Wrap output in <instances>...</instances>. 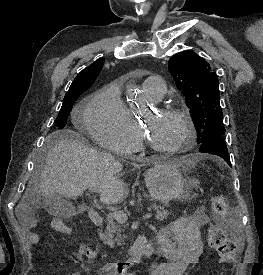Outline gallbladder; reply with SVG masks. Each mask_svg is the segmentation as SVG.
Segmentation results:
<instances>
[{
	"mask_svg": "<svg viewBox=\"0 0 263 275\" xmlns=\"http://www.w3.org/2000/svg\"><path fill=\"white\" fill-rule=\"evenodd\" d=\"M40 205L48 214L62 219H67L75 214V208L71 203L57 193L41 197Z\"/></svg>",
	"mask_w": 263,
	"mask_h": 275,
	"instance_id": "1",
	"label": "gallbladder"
}]
</instances>
